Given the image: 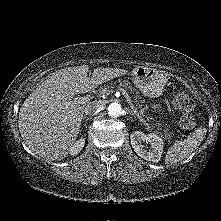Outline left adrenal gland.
Returning a JSON list of instances; mask_svg holds the SVG:
<instances>
[{
    "label": "left adrenal gland",
    "mask_w": 221,
    "mask_h": 221,
    "mask_svg": "<svg viewBox=\"0 0 221 221\" xmlns=\"http://www.w3.org/2000/svg\"><path fill=\"white\" fill-rule=\"evenodd\" d=\"M131 115H135V113L133 111L130 112Z\"/></svg>",
    "instance_id": "left-adrenal-gland-1"
}]
</instances>
